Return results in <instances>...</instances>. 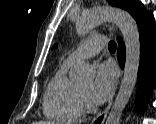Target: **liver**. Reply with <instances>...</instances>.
<instances>
[{"mask_svg": "<svg viewBox=\"0 0 156 124\" xmlns=\"http://www.w3.org/2000/svg\"><path fill=\"white\" fill-rule=\"evenodd\" d=\"M33 124H50V123L43 122V121H37V122H33Z\"/></svg>", "mask_w": 156, "mask_h": 124, "instance_id": "6515ba94", "label": "liver"}]
</instances>
